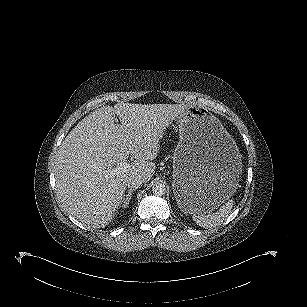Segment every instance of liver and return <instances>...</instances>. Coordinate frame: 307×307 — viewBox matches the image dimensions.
<instances>
[{"label":"liver","instance_id":"obj_1","mask_svg":"<svg viewBox=\"0 0 307 307\" xmlns=\"http://www.w3.org/2000/svg\"><path fill=\"white\" fill-rule=\"evenodd\" d=\"M179 104L118 103L101 107L66 136L55 159L57 195L81 223L104 228L122 206L132 177L148 182L155 172L163 129L178 118ZM115 115L121 124L115 123ZM132 156L126 172L109 178L105 171Z\"/></svg>","mask_w":307,"mask_h":307}]
</instances>
